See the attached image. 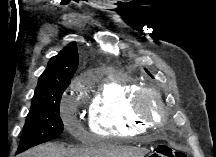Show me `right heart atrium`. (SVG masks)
<instances>
[{"instance_id": "1", "label": "right heart atrium", "mask_w": 216, "mask_h": 157, "mask_svg": "<svg viewBox=\"0 0 216 157\" xmlns=\"http://www.w3.org/2000/svg\"><path fill=\"white\" fill-rule=\"evenodd\" d=\"M65 122H66L67 124L70 122L69 117H66V118H65Z\"/></svg>"}]
</instances>
